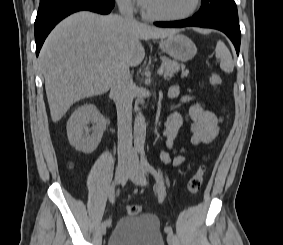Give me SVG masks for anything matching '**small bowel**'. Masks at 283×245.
Returning <instances> with one entry per match:
<instances>
[{
  "label": "small bowel",
  "mask_w": 283,
  "mask_h": 245,
  "mask_svg": "<svg viewBox=\"0 0 283 245\" xmlns=\"http://www.w3.org/2000/svg\"><path fill=\"white\" fill-rule=\"evenodd\" d=\"M170 98H181L182 102H192L191 96H180L177 85L168 90ZM223 118L208 109L205 103L193 102L185 114L172 113L166 120L163 129V136L167 151L161 153V158L166 164L179 166L185 161V149L175 146V139L183 124H187L191 133V142L201 146L213 142L220 132V124Z\"/></svg>",
  "instance_id": "small-bowel-1"
}]
</instances>
